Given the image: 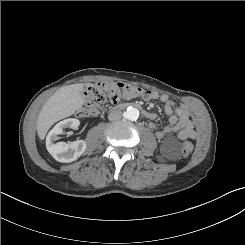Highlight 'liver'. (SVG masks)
Instances as JSON below:
<instances>
[{
    "instance_id": "liver-1",
    "label": "liver",
    "mask_w": 245,
    "mask_h": 245,
    "mask_svg": "<svg viewBox=\"0 0 245 245\" xmlns=\"http://www.w3.org/2000/svg\"><path fill=\"white\" fill-rule=\"evenodd\" d=\"M83 88V83L64 86L47 100L37 119V133L41 140L54 123L73 115L83 106Z\"/></svg>"
}]
</instances>
